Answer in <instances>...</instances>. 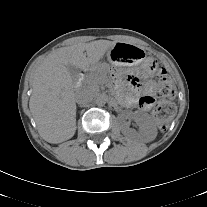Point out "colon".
<instances>
[{
  "mask_svg": "<svg viewBox=\"0 0 207 207\" xmlns=\"http://www.w3.org/2000/svg\"><path fill=\"white\" fill-rule=\"evenodd\" d=\"M148 66L151 70L156 71L157 85L155 93L157 97L162 99L154 110V118L157 121L159 128L165 130L168 120L175 112L174 104L168 101V99L175 96L176 89L165 69L159 68L155 59H149Z\"/></svg>",
  "mask_w": 207,
  "mask_h": 207,
  "instance_id": "colon-1",
  "label": "colon"
}]
</instances>
